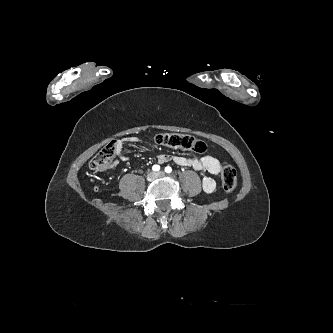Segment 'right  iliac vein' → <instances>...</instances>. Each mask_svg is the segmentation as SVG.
<instances>
[{
    "label": "right iliac vein",
    "mask_w": 333,
    "mask_h": 333,
    "mask_svg": "<svg viewBox=\"0 0 333 333\" xmlns=\"http://www.w3.org/2000/svg\"><path fill=\"white\" fill-rule=\"evenodd\" d=\"M155 178H156V173H154V172H149V173L147 174V180H148V181H153Z\"/></svg>",
    "instance_id": "obj_1"
}]
</instances>
